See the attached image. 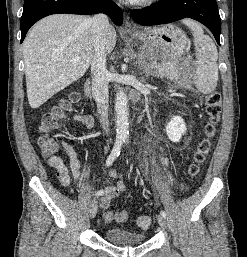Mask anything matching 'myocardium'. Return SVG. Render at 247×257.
I'll use <instances>...</instances> for the list:
<instances>
[{
  "instance_id": "1",
  "label": "myocardium",
  "mask_w": 247,
  "mask_h": 257,
  "mask_svg": "<svg viewBox=\"0 0 247 257\" xmlns=\"http://www.w3.org/2000/svg\"><path fill=\"white\" fill-rule=\"evenodd\" d=\"M157 0H139V1H135L132 2L135 5H139V6H149L153 3H155Z\"/></svg>"
}]
</instances>
